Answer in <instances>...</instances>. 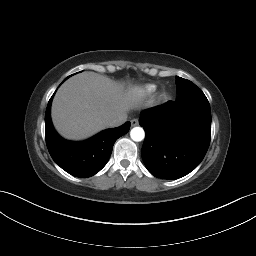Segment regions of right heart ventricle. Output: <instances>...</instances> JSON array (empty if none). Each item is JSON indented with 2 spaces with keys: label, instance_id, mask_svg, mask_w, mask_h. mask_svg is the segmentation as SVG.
I'll use <instances>...</instances> for the list:
<instances>
[{
  "label": "right heart ventricle",
  "instance_id": "1",
  "mask_svg": "<svg viewBox=\"0 0 256 256\" xmlns=\"http://www.w3.org/2000/svg\"><path fill=\"white\" fill-rule=\"evenodd\" d=\"M154 87H150V89L152 90Z\"/></svg>",
  "mask_w": 256,
  "mask_h": 256
}]
</instances>
